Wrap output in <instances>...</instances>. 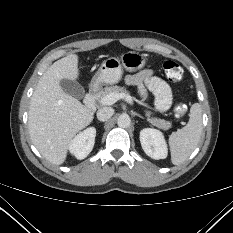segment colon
<instances>
[{
  "label": "colon",
  "mask_w": 233,
  "mask_h": 233,
  "mask_svg": "<svg viewBox=\"0 0 233 233\" xmlns=\"http://www.w3.org/2000/svg\"><path fill=\"white\" fill-rule=\"evenodd\" d=\"M161 65L169 81L179 83L183 79V69L177 62L165 59L162 61ZM186 113L187 105L183 102L176 103L174 107L175 117L180 119L184 117Z\"/></svg>",
  "instance_id": "colon-1"
}]
</instances>
